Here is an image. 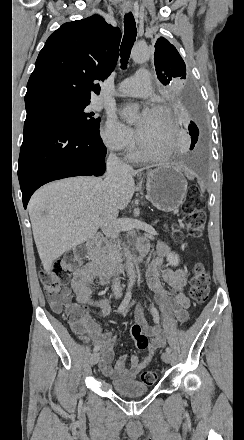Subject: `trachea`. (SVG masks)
Segmentation results:
<instances>
[{
    "mask_svg": "<svg viewBox=\"0 0 244 440\" xmlns=\"http://www.w3.org/2000/svg\"><path fill=\"white\" fill-rule=\"evenodd\" d=\"M137 29L135 19L131 12L126 13L124 16V36L120 46V57L122 68H126V64L128 62L131 49L136 40Z\"/></svg>",
    "mask_w": 244,
    "mask_h": 440,
    "instance_id": "1",
    "label": "trachea"
}]
</instances>
